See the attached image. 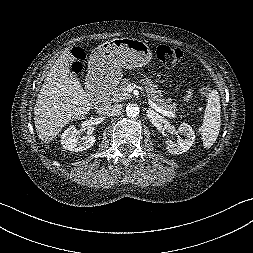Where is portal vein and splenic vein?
<instances>
[{
	"instance_id": "1",
	"label": "portal vein and splenic vein",
	"mask_w": 253,
	"mask_h": 253,
	"mask_svg": "<svg viewBox=\"0 0 253 253\" xmlns=\"http://www.w3.org/2000/svg\"><path fill=\"white\" fill-rule=\"evenodd\" d=\"M148 104L157 112L161 113L164 116L167 117H176V114L167 110H164L160 107H158L151 99H149Z\"/></svg>"
}]
</instances>
